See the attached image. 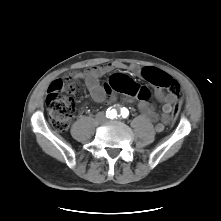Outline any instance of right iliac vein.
<instances>
[{"mask_svg":"<svg viewBox=\"0 0 221 221\" xmlns=\"http://www.w3.org/2000/svg\"><path fill=\"white\" fill-rule=\"evenodd\" d=\"M102 119H104V116H103V115H100V116H99V120H102Z\"/></svg>","mask_w":221,"mask_h":221,"instance_id":"obj_1","label":"right iliac vein"}]
</instances>
